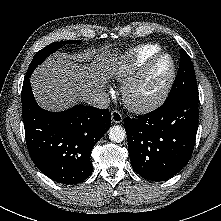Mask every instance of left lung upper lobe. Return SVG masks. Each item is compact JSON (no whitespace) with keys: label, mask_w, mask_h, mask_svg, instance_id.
I'll return each instance as SVG.
<instances>
[{"label":"left lung upper lobe","mask_w":221,"mask_h":221,"mask_svg":"<svg viewBox=\"0 0 221 221\" xmlns=\"http://www.w3.org/2000/svg\"><path fill=\"white\" fill-rule=\"evenodd\" d=\"M184 94H198L194 67L188 54L180 49V65L172 89L166 100Z\"/></svg>","instance_id":"obj_1"}]
</instances>
